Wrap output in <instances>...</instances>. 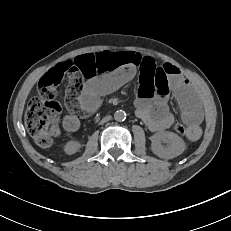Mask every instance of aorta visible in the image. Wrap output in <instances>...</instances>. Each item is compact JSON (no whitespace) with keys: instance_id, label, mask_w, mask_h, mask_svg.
I'll return each instance as SVG.
<instances>
[{"instance_id":"obj_1","label":"aorta","mask_w":231,"mask_h":231,"mask_svg":"<svg viewBox=\"0 0 231 231\" xmlns=\"http://www.w3.org/2000/svg\"><path fill=\"white\" fill-rule=\"evenodd\" d=\"M114 119L116 121H124L126 119V113L123 110H118L114 113Z\"/></svg>"}]
</instances>
